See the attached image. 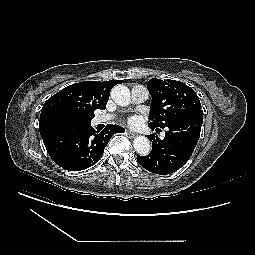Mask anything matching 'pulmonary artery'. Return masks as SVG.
I'll return each mask as SVG.
<instances>
[{
	"mask_svg": "<svg viewBox=\"0 0 255 255\" xmlns=\"http://www.w3.org/2000/svg\"><path fill=\"white\" fill-rule=\"evenodd\" d=\"M149 97L147 89L142 85H136L131 90V100L135 104H139L147 100ZM115 118V114L108 113L96 117L97 123H107Z\"/></svg>",
	"mask_w": 255,
	"mask_h": 255,
	"instance_id": "pulmonary-artery-1",
	"label": "pulmonary artery"
}]
</instances>
